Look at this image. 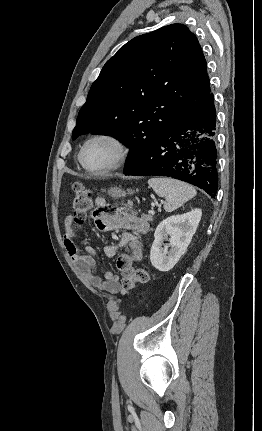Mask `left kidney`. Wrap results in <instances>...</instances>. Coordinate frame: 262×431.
Here are the masks:
<instances>
[{"instance_id": "obj_1", "label": "left kidney", "mask_w": 262, "mask_h": 431, "mask_svg": "<svg viewBox=\"0 0 262 431\" xmlns=\"http://www.w3.org/2000/svg\"><path fill=\"white\" fill-rule=\"evenodd\" d=\"M202 211L194 209L185 214L170 216L156 228L150 250L151 264L159 271H169L185 254L201 220ZM169 244L163 245L168 240ZM170 247V250L168 248Z\"/></svg>"}]
</instances>
